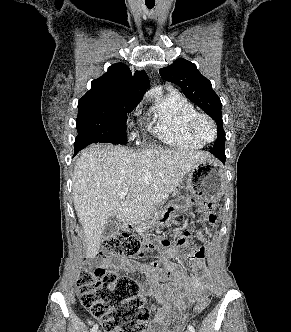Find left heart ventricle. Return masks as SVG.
I'll list each match as a JSON object with an SVG mask.
<instances>
[{
  "label": "left heart ventricle",
  "instance_id": "1",
  "mask_svg": "<svg viewBox=\"0 0 291 332\" xmlns=\"http://www.w3.org/2000/svg\"><path fill=\"white\" fill-rule=\"evenodd\" d=\"M198 133L205 140H211L213 137V129L211 125L205 120H201L199 122Z\"/></svg>",
  "mask_w": 291,
  "mask_h": 332
}]
</instances>
